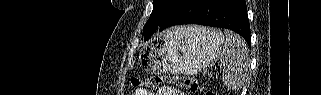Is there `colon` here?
Segmentation results:
<instances>
[{
    "label": "colon",
    "instance_id": "5ec220e1",
    "mask_svg": "<svg viewBox=\"0 0 321 95\" xmlns=\"http://www.w3.org/2000/svg\"><path fill=\"white\" fill-rule=\"evenodd\" d=\"M165 82L174 84L181 88H185L192 93H198V92L204 91L200 83L196 79L182 76V75H174V76L156 75V76H151L147 78L131 76L129 78V83L134 87L155 88ZM204 94L214 95L215 93L212 91L206 90L204 91Z\"/></svg>",
    "mask_w": 321,
    "mask_h": 95
}]
</instances>
